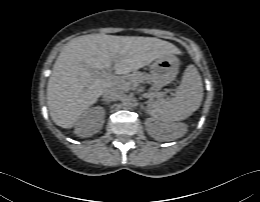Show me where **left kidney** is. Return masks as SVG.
I'll use <instances>...</instances> for the list:
<instances>
[{
  "label": "left kidney",
  "mask_w": 260,
  "mask_h": 202,
  "mask_svg": "<svg viewBox=\"0 0 260 202\" xmlns=\"http://www.w3.org/2000/svg\"><path fill=\"white\" fill-rule=\"evenodd\" d=\"M179 128L178 125L153 121L149 125L148 133L156 140H171L175 137V132Z\"/></svg>",
  "instance_id": "5707ae66"
}]
</instances>
